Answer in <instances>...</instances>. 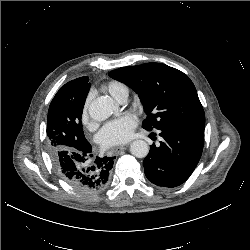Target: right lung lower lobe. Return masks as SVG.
Here are the masks:
<instances>
[{
    "label": "right lung lower lobe",
    "mask_w": 250,
    "mask_h": 250,
    "mask_svg": "<svg viewBox=\"0 0 250 250\" xmlns=\"http://www.w3.org/2000/svg\"><path fill=\"white\" fill-rule=\"evenodd\" d=\"M92 156L90 144L80 151L61 150L51 155L62 179L84 197L97 195L107 187L113 167L114 157L91 159Z\"/></svg>",
    "instance_id": "1"
}]
</instances>
